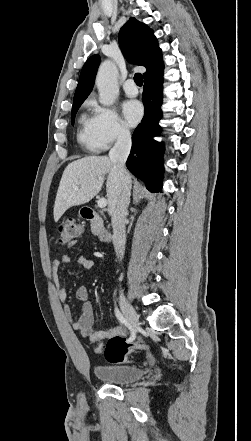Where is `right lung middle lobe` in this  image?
I'll return each mask as SVG.
<instances>
[{"instance_id":"dd1d6c3e","label":"right lung middle lobe","mask_w":251,"mask_h":441,"mask_svg":"<svg viewBox=\"0 0 251 441\" xmlns=\"http://www.w3.org/2000/svg\"><path fill=\"white\" fill-rule=\"evenodd\" d=\"M83 101L84 100H79V101L73 102V108H72V114H71L72 124H74L75 115L77 113V110L79 109V107L83 103Z\"/></svg>"}]
</instances>
